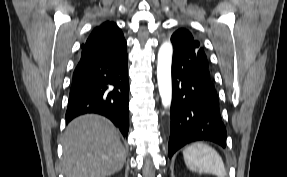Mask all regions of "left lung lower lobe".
I'll return each instance as SVG.
<instances>
[{
  "mask_svg": "<svg viewBox=\"0 0 287 177\" xmlns=\"http://www.w3.org/2000/svg\"><path fill=\"white\" fill-rule=\"evenodd\" d=\"M170 127L169 158L187 143L197 140L226 146V129L210 72L190 64L175 50Z\"/></svg>",
  "mask_w": 287,
  "mask_h": 177,
  "instance_id": "obj_1",
  "label": "left lung lower lobe"
}]
</instances>
